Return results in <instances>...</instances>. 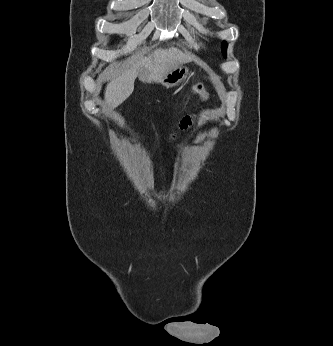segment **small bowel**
Instances as JSON below:
<instances>
[{
    "instance_id": "1",
    "label": "small bowel",
    "mask_w": 333,
    "mask_h": 346,
    "mask_svg": "<svg viewBox=\"0 0 333 346\" xmlns=\"http://www.w3.org/2000/svg\"><path fill=\"white\" fill-rule=\"evenodd\" d=\"M191 124V119L190 118H185L182 123H181V127L182 128H186Z\"/></svg>"
}]
</instances>
